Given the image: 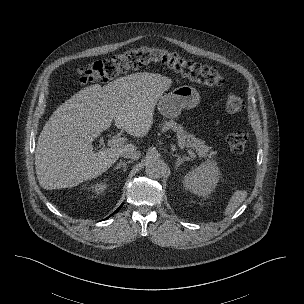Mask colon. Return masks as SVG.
Returning <instances> with one entry per match:
<instances>
[{
	"label": "colon",
	"mask_w": 304,
	"mask_h": 304,
	"mask_svg": "<svg viewBox=\"0 0 304 304\" xmlns=\"http://www.w3.org/2000/svg\"><path fill=\"white\" fill-rule=\"evenodd\" d=\"M158 63L167 66L191 82L203 86L222 87L226 80L215 67L201 65L181 57L179 54L156 46H141L122 54L94 62L77 70L80 84L104 82L115 78L121 73ZM245 107L244 99L236 93H229L225 99V109L234 114ZM248 136L245 131L230 132L226 141L232 152L240 154L245 150Z\"/></svg>",
	"instance_id": "5ec220e1"
}]
</instances>
